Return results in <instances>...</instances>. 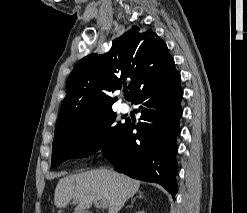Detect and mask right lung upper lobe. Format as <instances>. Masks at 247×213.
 <instances>
[{
	"label": "right lung upper lobe",
	"instance_id": "cb5924a9",
	"mask_svg": "<svg viewBox=\"0 0 247 213\" xmlns=\"http://www.w3.org/2000/svg\"><path fill=\"white\" fill-rule=\"evenodd\" d=\"M174 67L165 42L152 30L125 32L112 42L109 52L90 54L73 68L66 85L55 135L90 122L110 110L114 100L105 94L120 89L130 79L127 100L146 84Z\"/></svg>",
	"mask_w": 247,
	"mask_h": 213
}]
</instances>
